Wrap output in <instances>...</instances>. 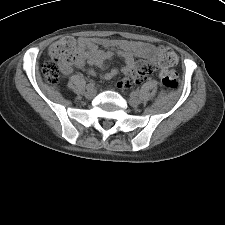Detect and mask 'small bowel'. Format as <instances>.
I'll return each mask as SVG.
<instances>
[{"instance_id": "1", "label": "small bowel", "mask_w": 225, "mask_h": 225, "mask_svg": "<svg viewBox=\"0 0 225 225\" xmlns=\"http://www.w3.org/2000/svg\"><path fill=\"white\" fill-rule=\"evenodd\" d=\"M76 43L77 61L73 65L62 66V71L65 74L71 73L74 67L84 68L86 64L103 69L108 61L117 56L123 60V66L113 67L100 75L102 79L110 80L120 72L128 76L133 74L137 65L142 62V60H137V56L154 61L157 55L156 47L148 44L138 43L131 45L119 40L85 37H79ZM100 45L106 49H100ZM86 71L91 75H95V71L92 68H87Z\"/></svg>"}]
</instances>
